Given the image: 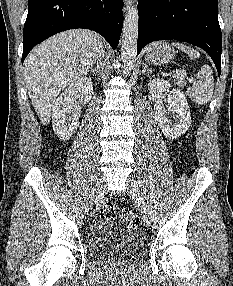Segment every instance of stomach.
Masks as SVG:
<instances>
[{
	"label": "stomach",
	"mask_w": 233,
	"mask_h": 286,
	"mask_svg": "<svg viewBox=\"0 0 233 286\" xmlns=\"http://www.w3.org/2000/svg\"><path fill=\"white\" fill-rule=\"evenodd\" d=\"M175 57V50L167 42H159L150 46L145 55L148 63H168Z\"/></svg>",
	"instance_id": "0dacf381"
}]
</instances>
